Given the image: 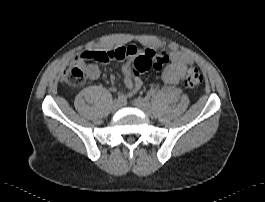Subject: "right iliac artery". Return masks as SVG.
Wrapping results in <instances>:
<instances>
[{"label": "right iliac artery", "mask_w": 265, "mask_h": 202, "mask_svg": "<svg viewBox=\"0 0 265 202\" xmlns=\"http://www.w3.org/2000/svg\"><path fill=\"white\" fill-rule=\"evenodd\" d=\"M117 101H119L120 103L124 101V97L122 95H119L117 97Z\"/></svg>", "instance_id": "right-iliac-artery-1"}]
</instances>
